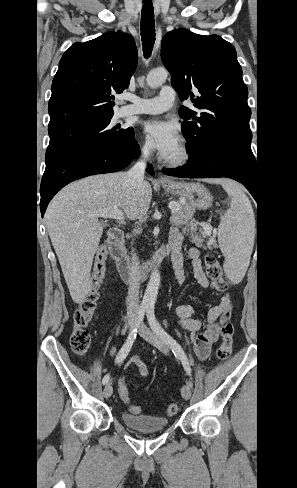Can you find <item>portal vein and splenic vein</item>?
Masks as SVG:
<instances>
[{
    "label": "portal vein and splenic vein",
    "mask_w": 297,
    "mask_h": 488,
    "mask_svg": "<svg viewBox=\"0 0 297 488\" xmlns=\"http://www.w3.org/2000/svg\"><path fill=\"white\" fill-rule=\"evenodd\" d=\"M169 208L173 211L177 209V206L173 203H169ZM91 215L96 217H103V218H114L117 220H123L124 218L123 212L118 208L100 210L92 213Z\"/></svg>",
    "instance_id": "18ae733b"
}]
</instances>
